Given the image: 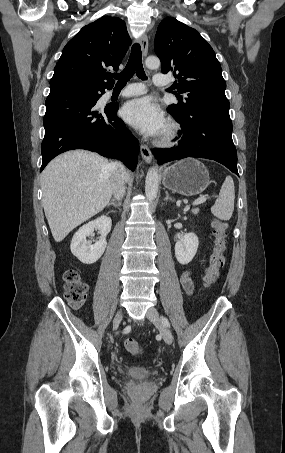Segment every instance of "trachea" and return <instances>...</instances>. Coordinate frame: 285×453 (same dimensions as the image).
Masks as SVG:
<instances>
[{
  "label": "trachea",
  "instance_id": "trachea-1",
  "mask_svg": "<svg viewBox=\"0 0 285 453\" xmlns=\"http://www.w3.org/2000/svg\"><path fill=\"white\" fill-rule=\"evenodd\" d=\"M134 73L142 80L147 79L142 65L141 47L138 43L132 46L131 55L124 70L121 73L114 74L113 78L118 80L117 86H125Z\"/></svg>",
  "mask_w": 285,
  "mask_h": 453
}]
</instances>
